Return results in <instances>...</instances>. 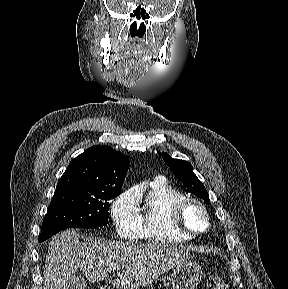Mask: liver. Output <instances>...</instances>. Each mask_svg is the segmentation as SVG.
Returning <instances> with one entry per match:
<instances>
[{
	"label": "liver",
	"mask_w": 288,
	"mask_h": 289,
	"mask_svg": "<svg viewBox=\"0 0 288 289\" xmlns=\"http://www.w3.org/2000/svg\"><path fill=\"white\" fill-rule=\"evenodd\" d=\"M190 259L184 250L165 243L91 238L82 243L76 230H65L50 241L43 268L44 289H74L77 269L93 283L107 280L116 289H138ZM116 271L112 280L110 274Z\"/></svg>",
	"instance_id": "6515ba94"
}]
</instances>
